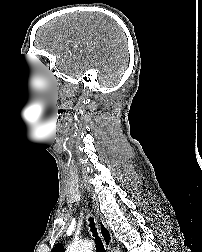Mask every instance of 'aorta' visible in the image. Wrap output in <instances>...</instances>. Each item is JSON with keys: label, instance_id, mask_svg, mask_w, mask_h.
Returning a JSON list of instances; mask_svg holds the SVG:
<instances>
[{"label": "aorta", "instance_id": "obj_1", "mask_svg": "<svg viewBox=\"0 0 202 252\" xmlns=\"http://www.w3.org/2000/svg\"><path fill=\"white\" fill-rule=\"evenodd\" d=\"M66 252H93V245L90 241L71 244Z\"/></svg>", "mask_w": 202, "mask_h": 252}]
</instances>
